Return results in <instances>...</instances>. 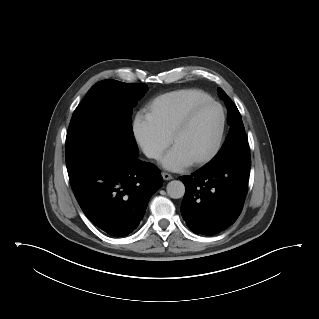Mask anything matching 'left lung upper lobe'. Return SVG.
Here are the masks:
<instances>
[{"label":"left lung upper lobe","instance_id":"5c2ea615","mask_svg":"<svg viewBox=\"0 0 319 319\" xmlns=\"http://www.w3.org/2000/svg\"><path fill=\"white\" fill-rule=\"evenodd\" d=\"M218 91L228 109L227 122L230 126V131L220 151L211 162L220 161L223 158L235 155L250 157L248 140L241 115L228 95L221 88Z\"/></svg>","mask_w":319,"mask_h":319}]
</instances>
